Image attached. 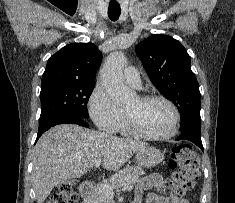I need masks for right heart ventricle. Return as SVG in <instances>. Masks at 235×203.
Segmentation results:
<instances>
[{
	"label": "right heart ventricle",
	"instance_id": "e07e8e85",
	"mask_svg": "<svg viewBox=\"0 0 235 203\" xmlns=\"http://www.w3.org/2000/svg\"><path fill=\"white\" fill-rule=\"evenodd\" d=\"M119 131L121 134L123 135H129L131 134L128 127H127V124H126V120L124 119V121L122 122V124L120 125L119 129L117 130Z\"/></svg>",
	"mask_w": 235,
	"mask_h": 203
}]
</instances>
